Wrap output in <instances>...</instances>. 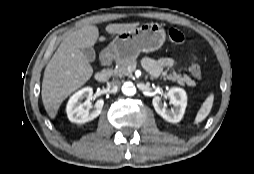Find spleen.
<instances>
[{"label": "spleen", "mask_w": 254, "mask_h": 174, "mask_svg": "<svg viewBox=\"0 0 254 174\" xmlns=\"http://www.w3.org/2000/svg\"><path fill=\"white\" fill-rule=\"evenodd\" d=\"M213 101H214V94H210L206 100L203 102L202 106L200 107L196 118H195V123L198 124L202 122L210 113L211 108L213 106Z\"/></svg>", "instance_id": "obj_1"}]
</instances>
